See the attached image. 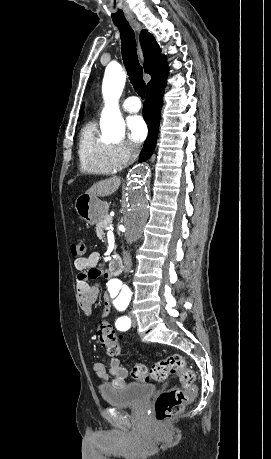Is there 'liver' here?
<instances>
[{
    "instance_id": "1",
    "label": "liver",
    "mask_w": 271,
    "mask_h": 459,
    "mask_svg": "<svg viewBox=\"0 0 271 459\" xmlns=\"http://www.w3.org/2000/svg\"><path fill=\"white\" fill-rule=\"evenodd\" d=\"M121 184V178L118 176H113V178H108V180H102V182H96L93 184L85 194L96 198V196H111L116 190H118Z\"/></svg>"
}]
</instances>
